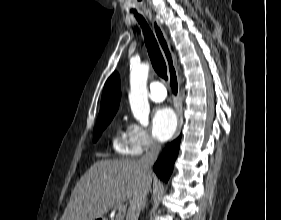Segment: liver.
Instances as JSON below:
<instances>
[{
	"mask_svg": "<svg viewBox=\"0 0 281 220\" xmlns=\"http://www.w3.org/2000/svg\"><path fill=\"white\" fill-rule=\"evenodd\" d=\"M143 177L137 161H97L75 185L60 220H95L103 217L116 204L131 199Z\"/></svg>",
	"mask_w": 281,
	"mask_h": 220,
	"instance_id": "6515ba94",
	"label": "liver"
}]
</instances>
